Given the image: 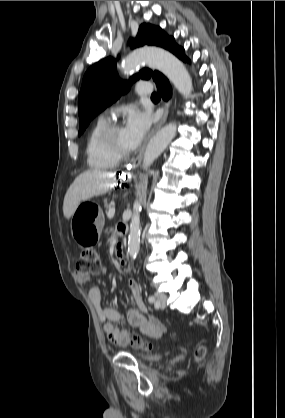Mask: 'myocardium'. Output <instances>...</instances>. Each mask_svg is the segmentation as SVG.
<instances>
[{"label":"myocardium","instance_id":"myocardium-1","mask_svg":"<svg viewBox=\"0 0 285 418\" xmlns=\"http://www.w3.org/2000/svg\"><path fill=\"white\" fill-rule=\"evenodd\" d=\"M120 128L121 125L117 122L107 123L97 137V143L105 155L118 161L128 158L133 152L132 148L120 151L113 145L114 133Z\"/></svg>","mask_w":285,"mask_h":418}]
</instances>
